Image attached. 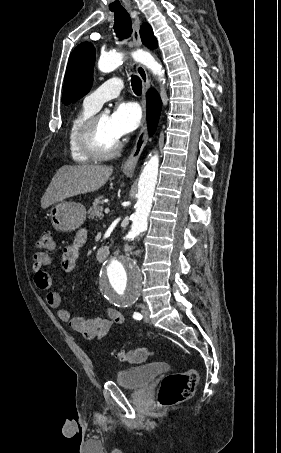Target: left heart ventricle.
Returning a JSON list of instances; mask_svg holds the SVG:
<instances>
[{"mask_svg": "<svg viewBox=\"0 0 281 453\" xmlns=\"http://www.w3.org/2000/svg\"><path fill=\"white\" fill-rule=\"evenodd\" d=\"M109 118L110 117L107 114H104L98 127V142L103 150L112 149L115 143L119 140L111 129Z\"/></svg>", "mask_w": 281, "mask_h": 453, "instance_id": "left-heart-ventricle-1", "label": "left heart ventricle"}]
</instances>
